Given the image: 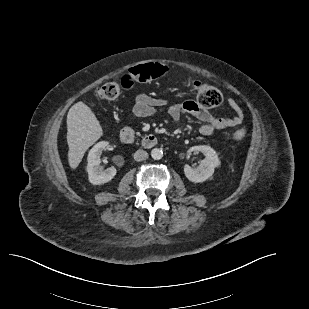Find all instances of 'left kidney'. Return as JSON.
<instances>
[{
	"mask_svg": "<svg viewBox=\"0 0 309 309\" xmlns=\"http://www.w3.org/2000/svg\"><path fill=\"white\" fill-rule=\"evenodd\" d=\"M191 152H202L205 158L196 169L185 165V176L189 181L194 183L204 182L213 175L215 168L220 165L218 155L213 148L207 145L193 146L188 150L189 154Z\"/></svg>",
	"mask_w": 309,
	"mask_h": 309,
	"instance_id": "obj_1",
	"label": "left kidney"
}]
</instances>
